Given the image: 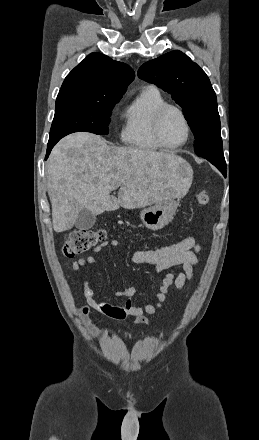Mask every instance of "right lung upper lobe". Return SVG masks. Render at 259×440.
<instances>
[{"instance_id": "1", "label": "right lung upper lobe", "mask_w": 259, "mask_h": 440, "mask_svg": "<svg viewBox=\"0 0 259 440\" xmlns=\"http://www.w3.org/2000/svg\"><path fill=\"white\" fill-rule=\"evenodd\" d=\"M133 79L134 71L127 64L101 53H91L67 75L57 97L121 99Z\"/></svg>"}]
</instances>
